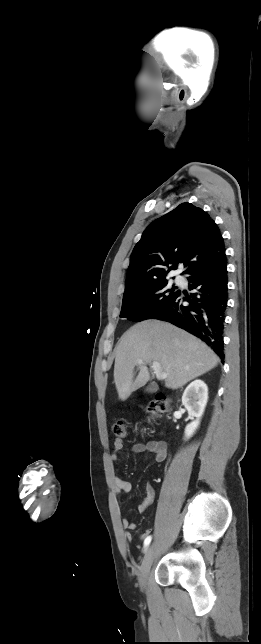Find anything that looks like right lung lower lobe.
<instances>
[{
	"mask_svg": "<svg viewBox=\"0 0 261 644\" xmlns=\"http://www.w3.org/2000/svg\"><path fill=\"white\" fill-rule=\"evenodd\" d=\"M190 289L197 293L177 298L153 318L166 320L206 342L224 358L223 331L228 300L227 260L196 266L185 271ZM188 302L189 305H183ZM223 362V361H222Z\"/></svg>",
	"mask_w": 261,
	"mask_h": 644,
	"instance_id": "1",
	"label": "right lung lower lobe"
}]
</instances>
